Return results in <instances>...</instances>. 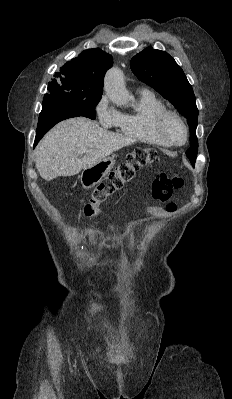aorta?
Masks as SVG:
<instances>
[{
  "instance_id": "aorta-1",
  "label": "aorta",
  "mask_w": 232,
  "mask_h": 399,
  "mask_svg": "<svg viewBox=\"0 0 232 399\" xmlns=\"http://www.w3.org/2000/svg\"><path fill=\"white\" fill-rule=\"evenodd\" d=\"M104 89L109 99L116 105H126L132 97L128 93L121 70L110 69L104 80Z\"/></svg>"
}]
</instances>
